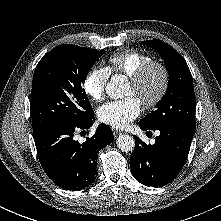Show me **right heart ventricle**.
I'll list each match as a JSON object with an SVG mask.
<instances>
[{
    "instance_id": "e07e8e85",
    "label": "right heart ventricle",
    "mask_w": 221,
    "mask_h": 221,
    "mask_svg": "<svg viewBox=\"0 0 221 221\" xmlns=\"http://www.w3.org/2000/svg\"><path fill=\"white\" fill-rule=\"evenodd\" d=\"M154 60V57L140 50H125L113 54L109 59V71L132 77L142 66Z\"/></svg>"
}]
</instances>
